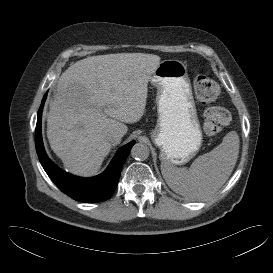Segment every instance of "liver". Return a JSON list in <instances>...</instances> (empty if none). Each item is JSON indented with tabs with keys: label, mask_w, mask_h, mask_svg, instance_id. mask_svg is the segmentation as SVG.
I'll return each mask as SVG.
<instances>
[{
	"label": "liver",
	"mask_w": 273,
	"mask_h": 273,
	"mask_svg": "<svg viewBox=\"0 0 273 273\" xmlns=\"http://www.w3.org/2000/svg\"><path fill=\"white\" fill-rule=\"evenodd\" d=\"M160 57L116 53L84 58L59 78L50 103L47 137L54 153L73 174L91 176L112 148L145 113L147 85Z\"/></svg>",
	"instance_id": "1"
}]
</instances>
